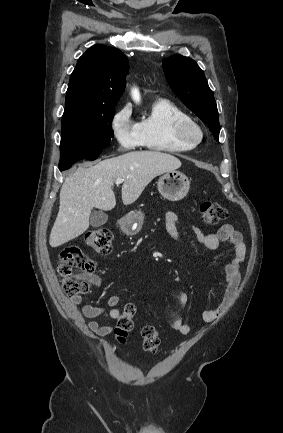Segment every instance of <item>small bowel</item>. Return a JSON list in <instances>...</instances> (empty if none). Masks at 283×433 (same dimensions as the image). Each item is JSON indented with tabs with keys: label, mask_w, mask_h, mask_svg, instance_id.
<instances>
[{
	"label": "small bowel",
	"mask_w": 283,
	"mask_h": 433,
	"mask_svg": "<svg viewBox=\"0 0 283 433\" xmlns=\"http://www.w3.org/2000/svg\"><path fill=\"white\" fill-rule=\"evenodd\" d=\"M178 216L174 212H167L165 214V227L168 235L175 241H180L181 236L178 230ZM192 230L196 236L198 243L208 250L217 249L222 243H228L234 247V255L231 262L225 268V285L226 289L221 297L219 304L212 309L205 310L202 314V318L205 322H213L219 319L231 306L241 276V264L244 261L246 246L243 237L239 231H237L232 225H223L216 233H204L199 228L193 226ZM94 286L99 285L97 278L92 279ZM180 301L185 304L188 300L186 293L179 295ZM82 303L81 296L70 297L66 303V309L71 318L75 321H82L83 318L91 319L88 323V328L95 334L104 337L111 333L112 327L103 325L97 318L103 314H108L111 318L116 319L120 315V310L117 305L120 303V297L118 295H112L108 298V307H99L90 304H84L81 308L79 306ZM172 329L186 335L190 332L191 327L189 324L184 322L180 317H176L171 325Z\"/></svg>",
	"instance_id": "1"
}]
</instances>
